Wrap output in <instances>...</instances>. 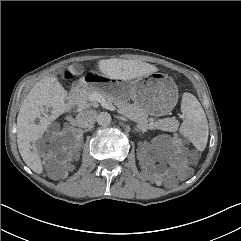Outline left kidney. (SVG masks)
I'll list each match as a JSON object with an SVG mask.
<instances>
[{
  "label": "left kidney",
  "mask_w": 241,
  "mask_h": 241,
  "mask_svg": "<svg viewBox=\"0 0 241 241\" xmlns=\"http://www.w3.org/2000/svg\"><path fill=\"white\" fill-rule=\"evenodd\" d=\"M176 144H179L177 140H174ZM172 148V145L168 143V141H162V142H157V141H152V143L146 147V151H150L152 153H170Z\"/></svg>",
  "instance_id": "1"
}]
</instances>
